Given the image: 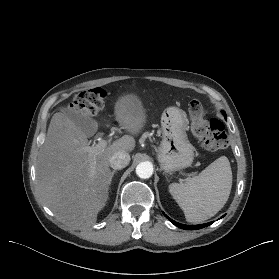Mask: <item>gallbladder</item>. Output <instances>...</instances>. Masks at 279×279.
<instances>
[{
  "label": "gallbladder",
  "instance_id": "bac80fb5",
  "mask_svg": "<svg viewBox=\"0 0 279 279\" xmlns=\"http://www.w3.org/2000/svg\"><path fill=\"white\" fill-rule=\"evenodd\" d=\"M61 111L88 136L94 135L97 131V123L89 116L67 107L61 108Z\"/></svg>",
  "mask_w": 279,
  "mask_h": 279
}]
</instances>
